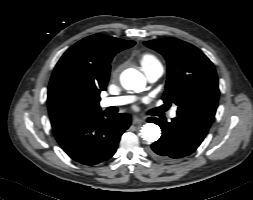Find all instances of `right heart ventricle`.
<instances>
[{"label":"right heart ventricle","mask_w":253,"mask_h":200,"mask_svg":"<svg viewBox=\"0 0 253 200\" xmlns=\"http://www.w3.org/2000/svg\"><path fill=\"white\" fill-rule=\"evenodd\" d=\"M140 63L142 67H145L157 64L159 61L154 55L146 53L140 57Z\"/></svg>","instance_id":"1"}]
</instances>
